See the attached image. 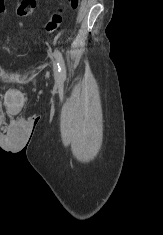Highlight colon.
<instances>
[{
    "mask_svg": "<svg viewBox=\"0 0 163 235\" xmlns=\"http://www.w3.org/2000/svg\"><path fill=\"white\" fill-rule=\"evenodd\" d=\"M67 6L72 9H77L80 0H65ZM36 8V0H23L16 8V14L20 17H26L30 15ZM5 9L4 0H0V13H3ZM63 15L62 10L54 13L46 22L44 28L47 32H54L62 24Z\"/></svg>",
    "mask_w": 163,
    "mask_h": 235,
    "instance_id": "colon-1",
    "label": "colon"
}]
</instances>
